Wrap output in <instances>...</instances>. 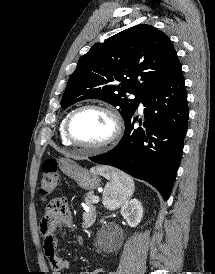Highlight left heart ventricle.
I'll return each mask as SVG.
<instances>
[{"label":"left heart ventricle","instance_id":"obj_1","mask_svg":"<svg viewBox=\"0 0 215 274\" xmlns=\"http://www.w3.org/2000/svg\"><path fill=\"white\" fill-rule=\"evenodd\" d=\"M112 121L99 110L88 109L79 112L71 124L73 137L84 144H97L112 133Z\"/></svg>","mask_w":215,"mask_h":274}]
</instances>
